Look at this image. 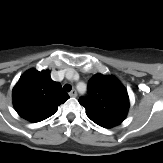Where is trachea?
Wrapping results in <instances>:
<instances>
[{
    "instance_id": "obj_1",
    "label": "trachea",
    "mask_w": 163,
    "mask_h": 163,
    "mask_svg": "<svg viewBox=\"0 0 163 163\" xmlns=\"http://www.w3.org/2000/svg\"><path fill=\"white\" fill-rule=\"evenodd\" d=\"M71 89H72V86H71L70 84H65V85L63 86V90H64V91L70 92Z\"/></svg>"
}]
</instances>
